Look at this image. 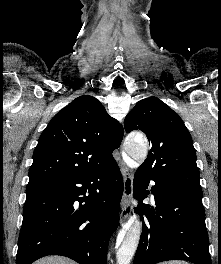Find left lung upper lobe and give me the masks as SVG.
<instances>
[{
  "label": "left lung upper lobe",
  "instance_id": "1",
  "mask_svg": "<svg viewBox=\"0 0 221 264\" xmlns=\"http://www.w3.org/2000/svg\"><path fill=\"white\" fill-rule=\"evenodd\" d=\"M125 130L144 132L151 149L140 170L167 184L202 193L196 153L182 119L156 97L137 102L124 121Z\"/></svg>",
  "mask_w": 221,
  "mask_h": 264
}]
</instances>
